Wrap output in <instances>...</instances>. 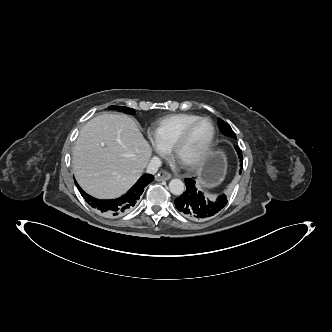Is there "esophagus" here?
<instances>
[{
  "label": "esophagus",
  "mask_w": 332,
  "mask_h": 332,
  "mask_svg": "<svg viewBox=\"0 0 332 332\" xmlns=\"http://www.w3.org/2000/svg\"><path fill=\"white\" fill-rule=\"evenodd\" d=\"M171 178V174L167 171H160L156 176L155 180L156 181H164V180H169Z\"/></svg>",
  "instance_id": "esophagus-1"
}]
</instances>
